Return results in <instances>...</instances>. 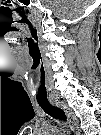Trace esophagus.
<instances>
[{
  "mask_svg": "<svg viewBox=\"0 0 101 135\" xmlns=\"http://www.w3.org/2000/svg\"><path fill=\"white\" fill-rule=\"evenodd\" d=\"M54 105L56 107L61 108L65 112L71 129L76 134H80L79 121H78L76 115L74 114V112L68 107V105L66 103H64L63 101L55 102Z\"/></svg>",
  "mask_w": 101,
  "mask_h": 135,
  "instance_id": "esophagus-1",
  "label": "esophagus"
}]
</instances>
